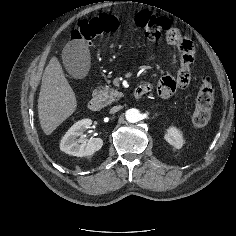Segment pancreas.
Segmentation results:
<instances>
[{
  "label": "pancreas",
  "instance_id": "cf45deb5",
  "mask_svg": "<svg viewBox=\"0 0 236 236\" xmlns=\"http://www.w3.org/2000/svg\"><path fill=\"white\" fill-rule=\"evenodd\" d=\"M95 97L100 100L104 105H109L115 101H117L120 97H122V93L110 88V86H100L99 90L94 92Z\"/></svg>",
  "mask_w": 236,
  "mask_h": 236
}]
</instances>
